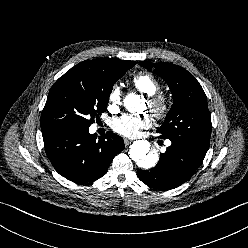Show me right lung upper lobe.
Returning a JSON list of instances; mask_svg holds the SVG:
<instances>
[{
	"label": "right lung upper lobe",
	"mask_w": 248,
	"mask_h": 248,
	"mask_svg": "<svg viewBox=\"0 0 248 248\" xmlns=\"http://www.w3.org/2000/svg\"><path fill=\"white\" fill-rule=\"evenodd\" d=\"M135 64L136 63L133 61L117 60L111 58H100L94 60H85L74 66L68 72L94 71V72H101L104 74L114 75L128 69L129 67L132 68Z\"/></svg>",
	"instance_id": "right-lung-upper-lobe-1"
}]
</instances>
